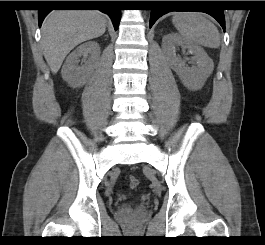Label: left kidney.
<instances>
[{
  "label": "left kidney",
  "mask_w": 265,
  "mask_h": 245,
  "mask_svg": "<svg viewBox=\"0 0 265 245\" xmlns=\"http://www.w3.org/2000/svg\"><path fill=\"white\" fill-rule=\"evenodd\" d=\"M177 47L187 49L190 54L194 55L191 60L195 66L191 68L186 66L185 61L176 55ZM162 48L170 67L177 73L185 87L195 91L204 86L213 72L214 64L203 48L176 33L163 37Z\"/></svg>",
  "instance_id": "5707ae66"
}]
</instances>
